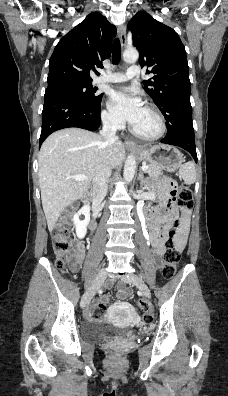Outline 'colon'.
Listing matches in <instances>:
<instances>
[{
	"instance_id": "1",
	"label": "colon",
	"mask_w": 228,
	"mask_h": 396,
	"mask_svg": "<svg viewBox=\"0 0 228 396\" xmlns=\"http://www.w3.org/2000/svg\"><path fill=\"white\" fill-rule=\"evenodd\" d=\"M170 188L172 196H177L179 205L182 208H190L192 206V192L188 185L178 184L173 180L166 181ZM176 225H179V221H176ZM70 227V216L64 214L60 219L53 225L52 228V244L53 250L56 255V266L61 271L65 272L67 267L74 261L75 256L71 253V244L69 236ZM175 232H171L169 239L167 240V248L163 254V269L162 273L165 278H171L175 274L177 265L181 258V250L176 246ZM138 307L142 311H145L144 321L146 323L152 322V316L147 311V305L143 300L138 302ZM104 306L101 304H93L91 307V316L94 319L100 318L104 314Z\"/></svg>"
}]
</instances>
